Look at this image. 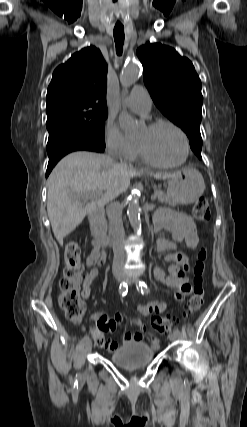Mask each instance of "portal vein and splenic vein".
I'll list each match as a JSON object with an SVG mask.
<instances>
[{"label": "portal vein and splenic vein", "mask_w": 247, "mask_h": 427, "mask_svg": "<svg viewBox=\"0 0 247 427\" xmlns=\"http://www.w3.org/2000/svg\"><path fill=\"white\" fill-rule=\"evenodd\" d=\"M100 194V192L98 191V192H96V193H93V194H91V195H87V196H95V195H99ZM155 198H156V194L154 193L152 196H151V200H155Z\"/></svg>", "instance_id": "1"}]
</instances>
